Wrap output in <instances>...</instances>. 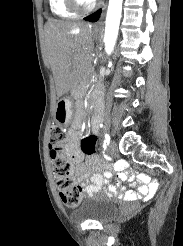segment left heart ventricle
Instances as JSON below:
<instances>
[{"label":"left heart ventricle","instance_id":"b2bd125f","mask_svg":"<svg viewBox=\"0 0 183 246\" xmlns=\"http://www.w3.org/2000/svg\"><path fill=\"white\" fill-rule=\"evenodd\" d=\"M81 1L84 2V3L91 2V0H81Z\"/></svg>","mask_w":183,"mask_h":246}]
</instances>
